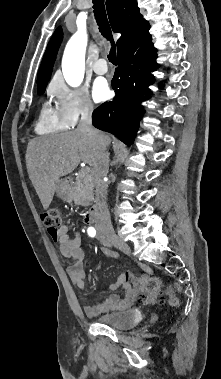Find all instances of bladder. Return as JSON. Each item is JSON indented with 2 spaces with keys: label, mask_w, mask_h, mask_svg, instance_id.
I'll return each instance as SVG.
<instances>
[{
  "label": "bladder",
  "mask_w": 221,
  "mask_h": 379,
  "mask_svg": "<svg viewBox=\"0 0 221 379\" xmlns=\"http://www.w3.org/2000/svg\"><path fill=\"white\" fill-rule=\"evenodd\" d=\"M141 318V313L136 309L108 311L94 317L95 321L100 324L121 330L136 326Z\"/></svg>",
  "instance_id": "bladder-1"
}]
</instances>
